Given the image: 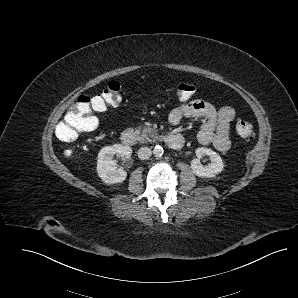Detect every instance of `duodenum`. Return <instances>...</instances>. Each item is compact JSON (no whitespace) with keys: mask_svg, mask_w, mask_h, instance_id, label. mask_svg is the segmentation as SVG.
<instances>
[{"mask_svg":"<svg viewBox=\"0 0 298 298\" xmlns=\"http://www.w3.org/2000/svg\"><path fill=\"white\" fill-rule=\"evenodd\" d=\"M120 139L123 144L128 146H133L138 143L139 137L137 133L132 129H125L122 131L120 135ZM164 142L172 149L179 150L183 147L184 139L183 137L178 133H166L163 136Z\"/></svg>","mask_w":298,"mask_h":298,"instance_id":"1","label":"duodenum"}]
</instances>
